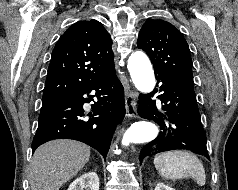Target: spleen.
Instances as JSON below:
<instances>
[{"label": "spleen", "mask_w": 238, "mask_h": 190, "mask_svg": "<svg viewBox=\"0 0 238 190\" xmlns=\"http://www.w3.org/2000/svg\"><path fill=\"white\" fill-rule=\"evenodd\" d=\"M154 165L159 174L170 180L191 177L199 186L206 183L203 164L198 157L187 151H168L156 155Z\"/></svg>", "instance_id": "1"}]
</instances>
